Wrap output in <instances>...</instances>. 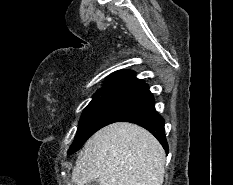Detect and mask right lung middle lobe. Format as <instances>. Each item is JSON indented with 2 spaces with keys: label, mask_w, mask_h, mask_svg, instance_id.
Listing matches in <instances>:
<instances>
[{
  "label": "right lung middle lobe",
  "mask_w": 233,
  "mask_h": 185,
  "mask_svg": "<svg viewBox=\"0 0 233 185\" xmlns=\"http://www.w3.org/2000/svg\"><path fill=\"white\" fill-rule=\"evenodd\" d=\"M129 92L127 90H104L94 94L92 101L82 113L75 140L68 154L76 152L98 130L100 122Z\"/></svg>",
  "instance_id": "1"
}]
</instances>
